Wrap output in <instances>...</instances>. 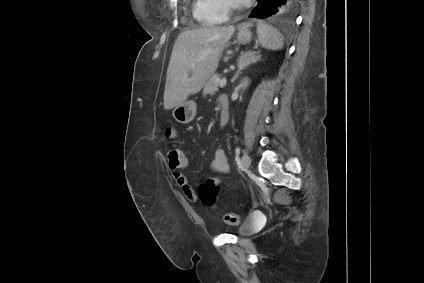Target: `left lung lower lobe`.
Returning <instances> with one entry per match:
<instances>
[{"label": "left lung lower lobe", "instance_id": "left-lung-lower-lobe-1", "mask_svg": "<svg viewBox=\"0 0 424 283\" xmlns=\"http://www.w3.org/2000/svg\"><path fill=\"white\" fill-rule=\"evenodd\" d=\"M300 0H259L249 17L266 19L289 15Z\"/></svg>", "mask_w": 424, "mask_h": 283}]
</instances>
